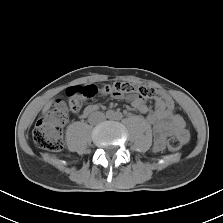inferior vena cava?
Segmentation results:
<instances>
[{"instance_id":"obj_1","label":"inferior vena cava","mask_w":223,"mask_h":223,"mask_svg":"<svg viewBox=\"0 0 223 223\" xmlns=\"http://www.w3.org/2000/svg\"><path fill=\"white\" fill-rule=\"evenodd\" d=\"M95 118L98 119V121H102L104 120L105 116L103 113L95 112L90 116V120L92 121Z\"/></svg>"}]
</instances>
